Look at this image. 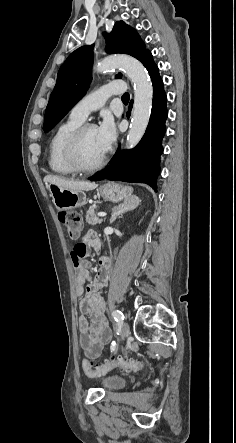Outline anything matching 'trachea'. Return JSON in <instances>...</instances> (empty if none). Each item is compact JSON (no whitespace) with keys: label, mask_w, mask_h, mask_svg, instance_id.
I'll return each mask as SVG.
<instances>
[{"label":"trachea","mask_w":236,"mask_h":443,"mask_svg":"<svg viewBox=\"0 0 236 443\" xmlns=\"http://www.w3.org/2000/svg\"><path fill=\"white\" fill-rule=\"evenodd\" d=\"M122 101H124V102H128L129 101V94L128 93H124L123 94Z\"/></svg>","instance_id":"3493384b"}]
</instances>
